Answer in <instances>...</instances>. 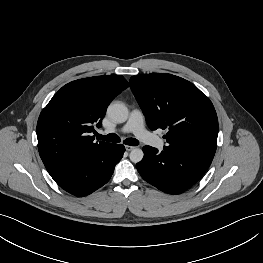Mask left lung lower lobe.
Listing matches in <instances>:
<instances>
[{"mask_svg":"<svg viewBox=\"0 0 263 263\" xmlns=\"http://www.w3.org/2000/svg\"><path fill=\"white\" fill-rule=\"evenodd\" d=\"M144 158L136 167L144 180L169 194H180L193 186L212 160L165 146L162 152L143 147Z\"/></svg>","mask_w":263,"mask_h":263,"instance_id":"left-lung-lower-lobe-1","label":"left lung lower lobe"}]
</instances>
